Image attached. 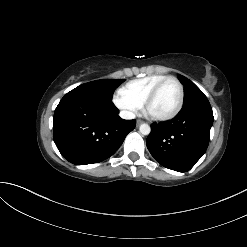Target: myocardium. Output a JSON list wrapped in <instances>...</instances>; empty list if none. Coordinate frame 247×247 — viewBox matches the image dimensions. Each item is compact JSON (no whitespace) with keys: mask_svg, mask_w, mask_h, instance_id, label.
<instances>
[{"mask_svg":"<svg viewBox=\"0 0 247 247\" xmlns=\"http://www.w3.org/2000/svg\"><path fill=\"white\" fill-rule=\"evenodd\" d=\"M168 81L176 82V84L179 87V102H178V105L174 109V111L171 112L168 115H164V116L153 115L148 111V107H149L150 103L153 101V99L155 98V96L157 95V93L163 87V85ZM184 100H185L184 87H183V84L181 83V81L178 78L174 77V76H167L164 79H162L160 82H158L154 86V88L149 92V94L146 96V98H145V100L143 102V109H144V112L151 119H153L155 121H161V122L169 121V120H172L173 118H175L180 113V111L182 110L183 105H184Z\"/></svg>","mask_w":247,"mask_h":247,"instance_id":"1","label":"myocardium"}]
</instances>
